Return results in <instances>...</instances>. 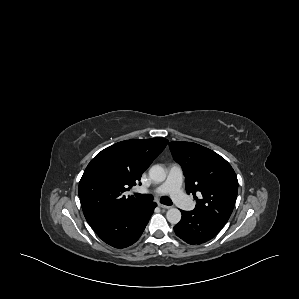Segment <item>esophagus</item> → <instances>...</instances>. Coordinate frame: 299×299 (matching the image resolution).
I'll return each instance as SVG.
<instances>
[{"mask_svg": "<svg viewBox=\"0 0 299 299\" xmlns=\"http://www.w3.org/2000/svg\"><path fill=\"white\" fill-rule=\"evenodd\" d=\"M158 206L162 209H170L171 208L170 206H167V205H164V204H161V203H158Z\"/></svg>", "mask_w": 299, "mask_h": 299, "instance_id": "obj_1", "label": "esophagus"}]
</instances>
